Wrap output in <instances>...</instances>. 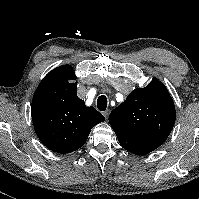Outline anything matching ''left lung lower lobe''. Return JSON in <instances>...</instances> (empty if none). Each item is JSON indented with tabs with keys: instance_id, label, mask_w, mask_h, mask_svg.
I'll return each instance as SVG.
<instances>
[{
	"instance_id": "1",
	"label": "left lung lower lobe",
	"mask_w": 199,
	"mask_h": 199,
	"mask_svg": "<svg viewBox=\"0 0 199 199\" xmlns=\"http://www.w3.org/2000/svg\"><path fill=\"white\" fill-rule=\"evenodd\" d=\"M121 146L136 155H145L160 145L148 140L139 139L123 132H115Z\"/></svg>"
}]
</instances>
